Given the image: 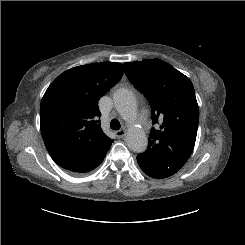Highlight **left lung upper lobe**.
<instances>
[{"label":"left lung upper lobe","mask_w":245,"mask_h":245,"mask_svg":"<svg viewBox=\"0 0 245 245\" xmlns=\"http://www.w3.org/2000/svg\"><path fill=\"white\" fill-rule=\"evenodd\" d=\"M125 72L148 99L153 124L144 152L182 167L196 140L199 109L190 79L159 59L124 63Z\"/></svg>","instance_id":"5c2ea615"}]
</instances>
